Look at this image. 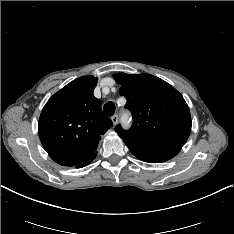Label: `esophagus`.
Returning a JSON list of instances; mask_svg holds the SVG:
<instances>
[{
    "instance_id": "esophagus-1",
    "label": "esophagus",
    "mask_w": 234,
    "mask_h": 234,
    "mask_svg": "<svg viewBox=\"0 0 234 234\" xmlns=\"http://www.w3.org/2000/svg\"><path fill=\"white\" fill-rule=\"evenodd\" d=\"M118 118L119 117L117 114L112 116L111 121H112L113 125H116L118 123Z\"/></svg>"
}]
</instances>
